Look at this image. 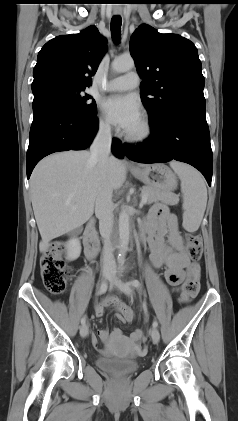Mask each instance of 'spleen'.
Wrapping results in <instances>:
<instances>
[{"instance_id": "spleen-1", "label": "spleen", "mask_w": 238, "mask_h": 421, "mask_svg": "<svg viewBox=\"0 0 238 421\" xmlns=\"http://www.w3.org/2000/svg\"><path fill=\"white\" fill-rule=\"evenodd\" d=\"M170 167L181 181L183 196V227L188 232L198 230L207 205V188L201 174L182 162L171 161Z\"/></svg>"}]
</instances>
